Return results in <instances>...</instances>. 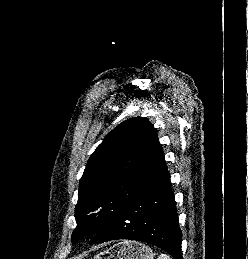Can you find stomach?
Wrapping results in <instances>:
<instances>
[{
    "mask_svg": "<svg viewBox=\"0 0 248 259\" xmlns=\"http://www.w3.org/2000/svg\"><path fill=\"white\" fill-rule=\"evenodd\" d=\"M93 259H154V253L145 244L122 241L96 254Z\"/></svg>",
    "mask_w": 248,
    "mask_h": 259,
    "instance_id": "obj_1",
    "label": "stomach"
}]
</instances>
